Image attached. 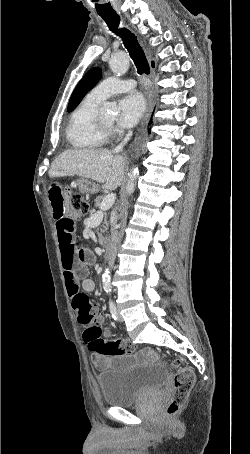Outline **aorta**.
<instances>
[{"instance_id":"1","label":"aorta","mask_w":250,"mask_h":454,"mask_svg":"<svg viewBox=\"0 0 250 454\" xmlns=\"http://www.w3.org/2000/svg\"><path fill=\"white\" fill-rule=\"evenodd\" d=\"M109 66L112 72L118 76L124 75L129 69V57L125 51L115 52L110 60ZM101 110L104 112L112 113L116 110V107L112 103H104L101 107ZM139 176L138 167H133L130 173L128 174V183L126 186L127 194L131 195L135 189V183ZM102 283L104 291L110 295L112 291L111 281H110V272L108 269H105L102 276Z\"/></svg>"}]
</instances>
